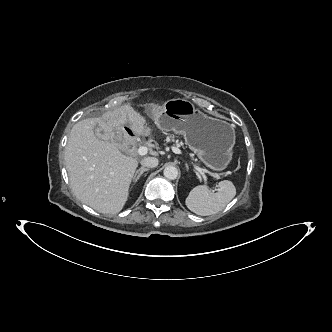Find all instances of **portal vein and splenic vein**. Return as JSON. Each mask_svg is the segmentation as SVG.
Instances as JSON below:
<instances>
[{
  "instance_id": "portal-vein-and-splenic-vein-1",
  "label": "portal vein and splenic vein",
  "mask_w": 332,
  "mask_h": 332,
  "mask_svg": "<svg viewBox=\"0 0 332 332\" xmlns=\"http://www.w3.org/2000/svg\"><path fill=\"white\" fill-rule=\"evenodd\" d=\"M172 150L175 154H182L181 150L176 147H174ZM137 153L141 156L146 155L148 153V148L145 146H140L137 150ZM193 166L196 170V173L201 175L203 177L204 183L207 184V177L205 175L206 170L202 169L201 167L197 166L196 164H194Z\"/></svg>"
}]
</instances>
